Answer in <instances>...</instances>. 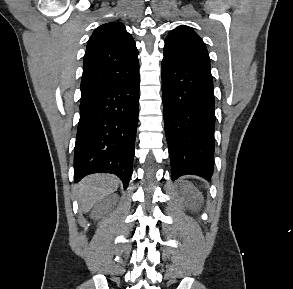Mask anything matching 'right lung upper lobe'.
Listing matches in <instances>:
<instances>
[{
    "label": "right lung upper lobe",
    "instance_id": "cb5924a9",
    "mask_svg": "<svg viewBox=\"0 0 293 289\" xmlns=\"http://www.w3.org/2000/svg\"><path fill=\"white\" fill-rule=\"evenodd\" d=\"M138 76V50L125 26L120 22L99 26L87 43L80 101Z\"/></svg>",
    "mask_w": 293,
    "mask_h": 289
}]
</instances>
